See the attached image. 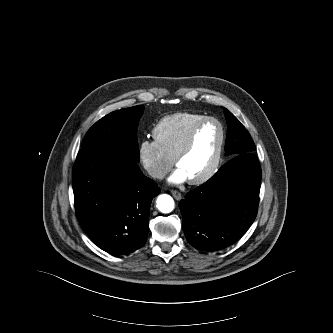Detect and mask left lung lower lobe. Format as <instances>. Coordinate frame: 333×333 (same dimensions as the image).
Masks as SVG:
<instances>
[{"instance_id": "0a47b994", "label": "left lung lower lobe", "mask_w": 333, "mask_h": 333, "mask_svg": "<svg viewBox=\"0 0 333 333\" xmlns=\"http://www.w3.org/2000/svg\"><path fill=\"white\" fill-rule=\"evenodd\" d=\"M261 175L254 153L238 154L191 190L179 203L188 242L216 251L239 240L256 218Z\"/></svg>"}]
</instances>
